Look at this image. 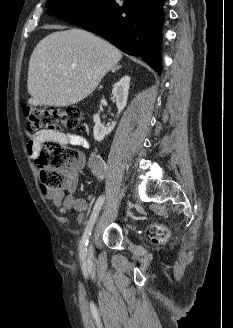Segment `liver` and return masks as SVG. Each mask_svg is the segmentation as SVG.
Instances as JSON below:
<instances>
[{"label": "liver", "mask_w": 233, "mask_h": 328, "mask_svg": "<svg viewBox=\"0 0 233 328\" xmlns=\"http://www.w3.org/2000/svg\"><path fill=\"white\" fill-rule=\"evenodd\" d=\"M121 58L116 47L85 30L54 32L37 44L30 57L28 103L56 107L78 103Z\"/></svg>", "instance_id": "liver-1"}]
</instances>
